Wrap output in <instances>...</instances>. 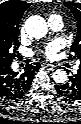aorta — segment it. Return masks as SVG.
<instances>
[{"label": "aorta", "mask_w": 81, "mask_h": 124, "mask_svg": "<svg viewBox=\"0 0 81 124\" xmlns=\"http://www.w3.org/2000/svg\"><path fill=\"white\" fill-rule=\"evenodd\" d=\"M24 28L28 35L36 39L44 37L48 31L44 18L38 15L29 17L25 22ZM52 77L56 83H63L67 80V73L58 69L53 73Z\"/></svg>", "instance_id": "762f6f07"}]
</instances>
